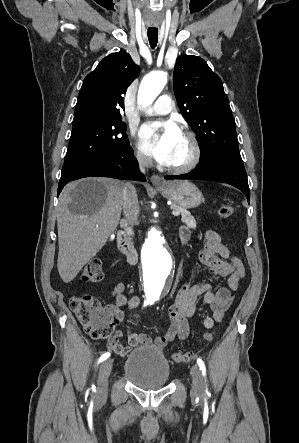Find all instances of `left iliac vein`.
Wrapping results in <instances>:
<instances>
[{"label": "left iliac vein", "mask_w": 299, "mask_h": 443, "mask_svg": "<svg viewBox=\"0 0 299 443\" xmlns=\"http://www.w3.org/2000/svg\"><path fill=\"white\" fill-rule=\"evenodd\" d=\"M192 375V394L193 395H203L204 394V383L201 376L200 369L197 365L193 366L191 370Z\"/></svg>", "instance_id": "4c4485c4"}]
</instances>
